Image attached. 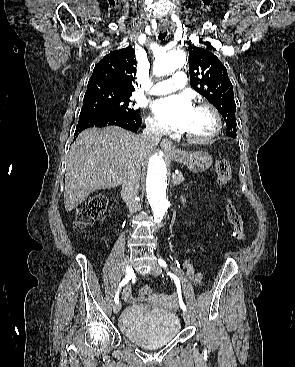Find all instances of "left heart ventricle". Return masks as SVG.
<instances>
[{
    "label": "left heart ventricle",
    "instance_id": "left-heart-ventricle-1",
    "mask_svg": "<svg viewBox=\"0 0 295 367\" xmlns=\"http://www.w3.org/2000/svg\"><path fill=\"white\" fill-rule=\"evenodd\" d=\"M214 128L212 115L205 109L194 108L189 124L184 131L195 137H204L211 133Z\"/></svg>",
    "mask_w": 295,
    "mask_h": 367
}]
</instances>
